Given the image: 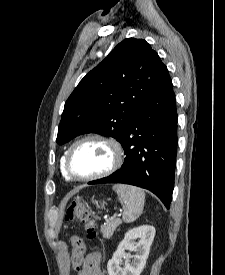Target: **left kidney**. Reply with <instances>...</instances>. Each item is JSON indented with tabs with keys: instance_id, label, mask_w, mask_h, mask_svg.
I'll use <instances>...</instances> for the list:
<instances>
[{
	"instance_id": "5707ae66",
	"label": "left kidney",
	"mask_w": 225,
	"mask_h": 275,
	"mask_svg": "<svg viewBox=\"0 0 225 275\" xmlns=\"http://www.w3.org/2000/svg\"><path fill=\"white\" fill-rule=\"evenodd\" d=\"M155 236L153 226L143 225L129 230L124 239L118 245L116 252L107 264L109 275H140L149 255L150 247ZM138 239V242L135 240ZM134 251L132 262L127 261L124 268H120L121 258L124 251ZM131 255L128 256L130 258Z\"/></svg>"
}]
</instances>
